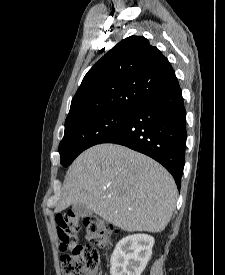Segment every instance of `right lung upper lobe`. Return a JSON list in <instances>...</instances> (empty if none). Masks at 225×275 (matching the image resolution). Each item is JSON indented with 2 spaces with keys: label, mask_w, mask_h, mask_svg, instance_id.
<instances>
[{
  "label": "right lung upper lobe",
  "mask_w": 225,
  "mask_h": 275,
  "mask_svg": "<svg viewBox=\"0 0 225 275\" xmlns=\"http://www.w3.org/2000/svg\"><path fill=\"white\" fill-rule=\"evenodd\" d=\"M178 87L168 59L146 38L131 36L87 72L65 124L97 113L133 110L145 100Z\"/></svg>",
  "instance_id": "right-lung-upper-lobe-1"
}]
</instances>
